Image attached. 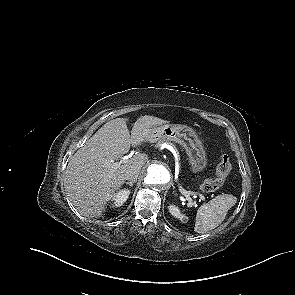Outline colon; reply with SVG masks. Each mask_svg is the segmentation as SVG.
Wrapping results in <instances>:
<instances>
[{"label": "colon", "mask_w": 295, "mask_h": 295, "mask_svg": "<svg viewBox=\"0 0 295 295\" xmlns=\"http://www.w3.org/2000/svg\"><path fill=\"white\" fill-rule=\"evenodd\" d=\"M231 168L229 157L226 154L221 155L216 166L215 174L202 183L201 190L209 193L219 189L229 175Z\"/></svg>", "instance_id": "1"}]
</instances>
